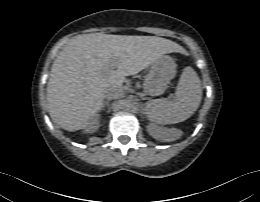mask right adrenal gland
Masks as SVG:
<instances>
[{
	"label": "right adrenal gland",
	"mask_w": 260,
	"mask_h": 202,
	"mask_svg": "<svg viewBox=\"0 0 260 202\" xmlns=\"http://www.w3.org/2000/svg\"><path fill=\"white\" fill-rule=\"evenodd\" d=\"M109 102H110V99H107L105 102H104V105L103 107H107L108 108V113L110 112V107H109Z\"/></svg>",
	"instance_id": "1"
}]
</instances>
